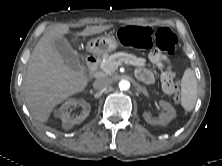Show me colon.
<instances>
[{"mask_svg":"<svg viewBox=\"0 0 222 166\" xmlns=\"http://www.w3.org/2000/svg\"><path fill=\"white\" fill-rule=\"evenodd\" d=\"M117 37L122 44L136 48L149 49L155 45L158 49L167 52L173 57L178 44L177 36L167 27L152 30L144 26H128L121 28ZM162 85L164 88L172 90L175 102L179 103V88L172 73H166L162 76Z\"/></svg>","mask_w":222,"mask_h":166,"instance_id":"1","label":"colon"}]
</instances>
